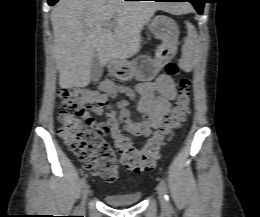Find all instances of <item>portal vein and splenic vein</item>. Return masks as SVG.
<instances>
[{"instance_id":"18ae733b","label":"portal vein and splenic vein","mask_w":260,"mask_h":217,"mask_svg":"<svg viewBox=\"0 0 260 217\" xmlns=\"http://www.w3.org/2000/svg\"><path fill=\"white\" fill-rule=\"evenodd\" d=\"M114 25H115V23L114 22H110V21L104 24V26L107 27V28H113Z\"/></svg>"}]
</instances>
